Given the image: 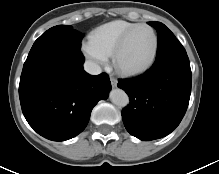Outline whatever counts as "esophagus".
Masks as SVG:
<instances>
[{
	"label": "esophagus",
	"instance_id": "esophagus-1",
	"mask_svg": "<svg viewBox=\"0 0 219 174\" xmlns=\"http://www.w3.org/2000/svg\"><path fill=\"white\" fill-rule=\"evenodd\" d=\"M110 81H111L112 87H116L117 86L118 81L114 77H110Z\"/></svg>",
	"mask_w": 219,
	"mask_h": 174
}]
</instances>
